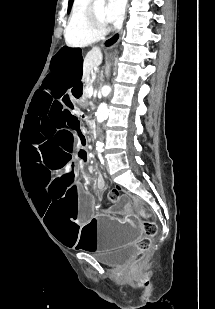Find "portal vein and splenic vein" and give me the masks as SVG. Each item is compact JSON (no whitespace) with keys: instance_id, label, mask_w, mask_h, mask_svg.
<instances>
[{"instance_id":"18ae733b","label":"portal vein and splenic vein","mask_w":215,"mask_h":309,"mask_svg":"<svg viewBox=\"0 0 215 309\" xmlns=\"http://www.w3.org/2000/svg\"><path fill=\"white\" fill-rule=\"evenodd\" d=\"M86 92H88L89 96H92V94H93L92 86H90V88H87Z\"/></svg>"}]
</instances>
